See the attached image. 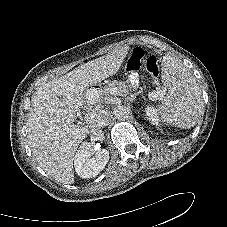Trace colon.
<instances>
[{
  "instance_id": "5ec220e1",
  "label": "colon",
  "mask_w": 227,
  "mask_h": 227,
  "mask_svg": "<svg viewBox=\"0 0 227 227\" xmlns=\"http://www.w3.org/2000/svg\"><path fill=\"white\" fill-rule=\"evenodd\" d=\"M142 66L145 67L152 80L157 83L159 80V67L156 57L146 55L142 48L136 47L128 57L125 68L131 72L139 70Z\"/></svg>"
}]
</instances>
